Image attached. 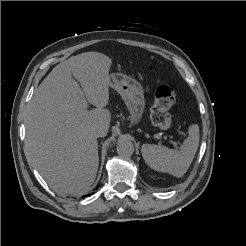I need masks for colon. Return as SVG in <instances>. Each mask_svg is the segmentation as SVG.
Masks as SVG:
<instances>
[{
    "label": "colon",
    "mask_w": 246,
    "mask_h": 246,
    "mask_svg": "<svg viewBox=\"0 0 246 246\" xmlns=\"http://www.w3.org/2000/svg\"><path fill=\"white\" fill-rule=\"evenodd\" d=\"M177 101V92L173 86L161 85L155 91V100L151 108L150 117L153 124L159 128L173 126L175 120L169 115V109Z\"/></svg>",
    "instance_id": "colon-1"
}]
</instances>
